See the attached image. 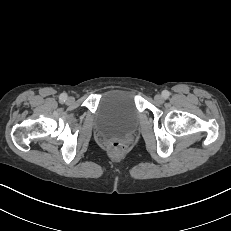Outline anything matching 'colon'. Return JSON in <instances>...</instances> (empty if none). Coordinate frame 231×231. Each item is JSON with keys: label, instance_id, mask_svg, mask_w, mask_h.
Wrapping results in <instances>:
<instances>
[{"label": "colon", "instance_id": "5ec220e1", "mask_svg": "<svg viewBox=\"0 0 231 231\" xmlns=\"http://www.w3.org/2000/svg\"><path fill=\"white\" fill-rule=\"evenodd\" d=\"M109 149L114 154L122 153L126 149V144L120 140H114L109 144Z\"/></svg>", "mask_w": 231, "mask_h": 231}]
</instances>
